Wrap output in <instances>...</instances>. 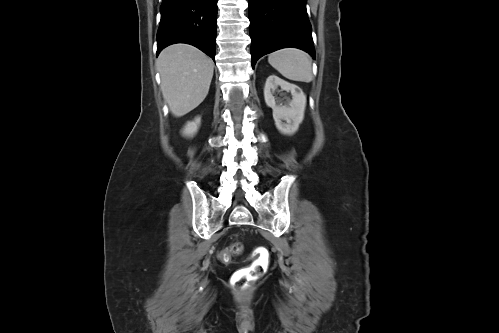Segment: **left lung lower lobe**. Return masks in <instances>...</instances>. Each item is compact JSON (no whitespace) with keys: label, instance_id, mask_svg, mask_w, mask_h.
<instances>
[{"label":"left lung lower lobe","instance_id":"obj_1","mask_svg":"<svg viewBox=\"0 0 499 333\" xmlns=\"http://www.w3.org/2000/svg\"><path fill=\"white\" fill-rule=\"evenodd\" d=\"M307 0H249L252 67L273 51L295 47L315 58Z\"/></svg>","mask_w":499,"mask_h":333}]
</instances>
